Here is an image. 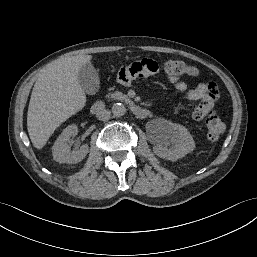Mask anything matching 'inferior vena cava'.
Returning a JSON list of instances; mask_svg holds the SVG:
<instances>
[{
    "label": "inferior vena cava",
    "mask_w": 257,
    "mask_h": 257,
    "mask_svg": "<svg viewBox=\"0 0 257 257\" xmlns=\"http://www.w3.org/2000/svg\"><path fill=\"white\" fill-rule=\"evenodd\" d=\"M111 112L106 109H101L97 112L96 117L99 120L106 121L110 118Z\"/></svg>",
    "instance_id": "inferior-vena-cava-1"
}]
</instances>
